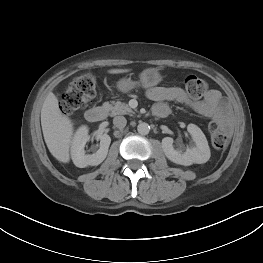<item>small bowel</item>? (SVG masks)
Segmentation results:
<instances>
[{"instance_id":"small-bowel-1","label":"small bowel","mask_w":263,"mask_h":263,"mask_svg":"<svg viewBox=\"0 0 263 263\" xmlns=\"http://www.w3.org/2000/svg\"><path fill=\"white\" fill-rule=\"evenodd\" d=\"M146 95L154 102L155 115L163 110L169 111L168 102L174 101L191 107L203 116L213 118L225 130L230 128L228 107L218 90H209L201 100L190 98L180 87H154L148 90Z\"/></svg>"}]
</instances>
